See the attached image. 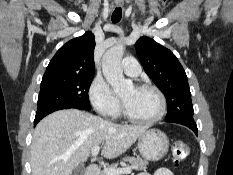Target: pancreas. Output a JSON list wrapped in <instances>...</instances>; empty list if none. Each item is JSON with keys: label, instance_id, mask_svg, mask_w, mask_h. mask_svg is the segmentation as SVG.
Segmentation results:
<instances>
[{"label": "pancreas", "instance_id": "1", "mask_svg": "<svg viewBox=\"0 0 233 175\" xmlns=\"http://www.w3.org/2000/svg\"><path fill=\"white\" fill-rule=\"evenodd\" d=\"M125 162H129L131 164V169L135 170H145L146 166L148 165V162L146 160H143L140 157H124L120 164H125ZM110 168L118 169V164H113L110 166ZM100 175H106L105 172H101Z\"/></svg>", "mask_w": 233, "mask_h": 175}]
</instances>
